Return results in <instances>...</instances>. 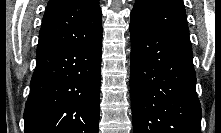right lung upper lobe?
<instances>
[{
    "mask_svg": "<svg viewBox=\"0 0 221 133\" xmlns=\"http://www.w3.org/2000/svg\"><path fill=\"white\" fill-rule=\"evenodd\" d=\"M100 30L99 0H50L39 32L37 52L83 44Z\"/></svg>",
    "mask_w": 221,
    "mask_h": 133,
    "instance_id": "cb5924a9",
    "label": "right lung upper lobe"
}]
</instances>
